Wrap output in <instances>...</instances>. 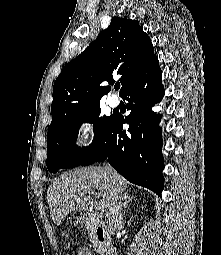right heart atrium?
Masks as SVG:
<instances>
[{
	"label": "right heart atrium",
	"mask_w": 221,
	"mask_h": 255,
	"mask_svg": "<svg viewBox=\"0 0 221 255\" xmlns=\"http://www.w3.org/2000/svg\"><path fill=\"white\" fill-rule=\"evenodd\" d=\"M94 137V123L89 118L80 119L75 128V141L79 145H85Z\"/></svg>",
	"instance_id": "obj_1"
}]
</instances>
